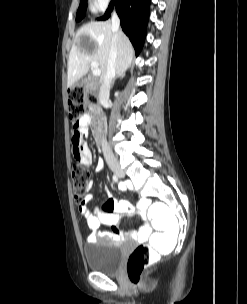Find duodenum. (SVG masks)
<instances>
[{"instance_id": "1", "label": "duodenum", "mask_w": 247, "mask_h": 304, "mask_svg": "<svg viewBox=\"0 0 247 304\" xmlns=\"http://www.w3.org/2000/svg\"><path fill=\"white\" fill-rule=\"evenodd\" d=\"M86 108L87 109H90L91 108V105L90 104H87L86 105ZM93 109V108H91ZM92 111V110H91ZM94 115H92V120H94L92 123H91V130H93V136L95 137L94 138V141H95V144H102V141H100L101 137L104 136V138H107V135H105L106 133V129H105V126H106V123H105V120L107 119V116L106 115H101V109L99 107H95L94 108Z\"/></svg>"}]
</instances>
